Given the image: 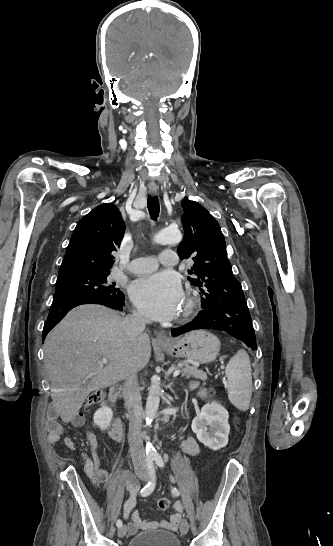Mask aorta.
<instances>
[{
  "mask_svg": "<svg viewBox=\"0 0 333 546\" xmlns=\"http://www.w3.org/2000/svg\"><path fill=\"white\" fill-rule=\"evenodd\" d=\"M182 240V234L178 229L166 228L157 233L154 237V241L157 243H179ZM161 395L160 378L154 376L152 378L151 386L146 402V423L151 424L159 408ZM155 452V448L151 443L146 444V453L152 454Z\"/></svg>",
  "mask_w": 333,
  "mask_h": 546,
  "instance_id": "obj_1",
  "label": "aorta"
}]
</instances>
